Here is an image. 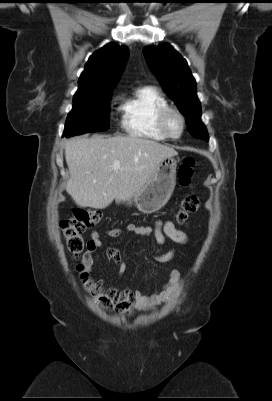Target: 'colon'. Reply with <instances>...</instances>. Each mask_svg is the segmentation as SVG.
<instances>
[{
    "instance_id": "obj_1",
    "label": "colon",
    "mask_w": 272,
    "mask_h": 401,
    "mask_svg": "<svg viewBox=\"0 0 272 401\" xmlns=\"http://www.w3.org/2000/svg\"><path fill=\"white\" fill-rule=\"evenodd\" d=\"M195 161L191 157L184 159L178 169V179L181 185L187 186L192 178ZM200 207V199L194 193L187 194L181 201L176 218L183 223L190 214L195 213ZM102 215L95 210L77 208L72 219L63 221L61 228L66 241L67 249L74 258H79L84 251L85 240L83 233L100 223ZM82 270V268H80ZM83 285L99 298L100 304L105 308L113 307V296L108 292L104 293L87 275L82 271ZM117 309V305H116Z\"/></svg>"
}]
</instances>
